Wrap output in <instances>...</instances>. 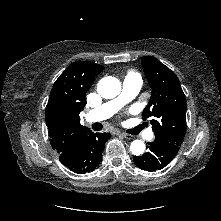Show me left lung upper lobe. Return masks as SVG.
<instances>
[{
  "label": "left lung upper lobe",
  "instance_id": "5c2ea615",
  "mask_svg": "<svg viewBox=\"0 0 221 221\" xmlns=\"http://www.w3.org/2000/svg\"><path fill=\"white\" fill-rule=\"evenodd\" d=\"M152 89L142 118L151 119L155 140L180 146L186 130V99L176 74L153 56L142 58Z\"/></svg>",
  "mask_w": 221,
  "mask_h": 221
}]
</instances>
